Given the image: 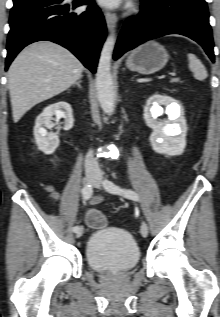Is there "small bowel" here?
Returning <instances> with one entry per match:
<instances>
[{"label": "small bowel", "instance_id": "1", "mask_svg": "<svg viewBox=\"0 0 220 317\" xmlns=\"http://www.w3.org/2000/svg\"><path fill=\"white\" fill-rule=\"evenodd\" d=\"M45 188H46V190L49 192V195H50V197H51V199H52L53 202H56V201L59 200L60 195H59V193L55 190V188L53 187V185L47 184V185L45 186ZM101 200H102V196H101V195H97V196H95V197H93V198L91 199L90 204H95V203H97V202H99V201H101Z\"/></svg>", "mask_w": 220, "mask_h": 317}]
</instances>
